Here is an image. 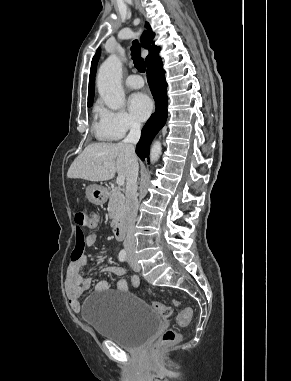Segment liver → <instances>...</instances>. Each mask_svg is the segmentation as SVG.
<instances>
[{"label": "liver", "mask_w": 291, "mask_h": 381, "mask_svg": "<svg viewBox=\"0 0 291 381\" xmlns=\"http://www.w3.org/2000/svg\"><path fill=\"white\" fill-rule=\"evenodd\" d=\"M131 154L122 143H93L71 164L67 177L92 182L112 179L115 174L127 179Z\"/></svg>", "instance_id": "obj_1"}]
</instances>
